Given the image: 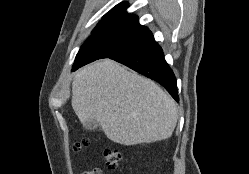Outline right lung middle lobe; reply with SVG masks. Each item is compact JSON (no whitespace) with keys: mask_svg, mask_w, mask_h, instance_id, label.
I'll return each instance as SVG.
<instances>
[{"mask_svg":"<svg viewBox=\"0 0 249 174\" xmlns=\"http://www.w3.org/2000/svg\"><path fill=\"white\" fill-rule=\"evenodd\" d=\"M151 35L146 27L117 26L100 31H92L76 55L72 71L101 58L130 50L145 43Z\"/></svg>","mask_w":249,"mask_h":174,"instance_id":"1","label":"right lung middle lobe"}]
</instances>
